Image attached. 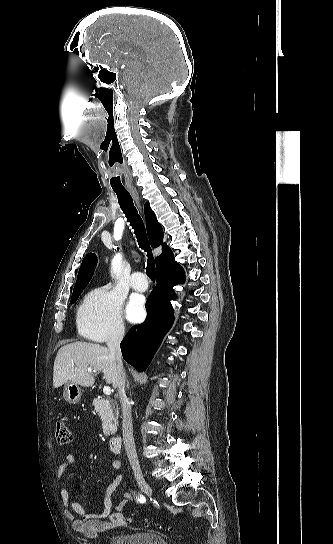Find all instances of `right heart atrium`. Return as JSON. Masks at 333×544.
I'll list each match as a JSON object with an SVG mask.
<instances>
[{
    "mask_svg": "<svg viewBox=\"0 0 333 544\" xmlns=\"http://www.w3.org/2000/svg\"><path fill=\"white\" fill-rule=\"evenodd\" d=\"M77 322L81 334L90 340H120L125 334L123 301L108 287L96 288L81 305Z\"/></svg>",
    "mask_w": 333,
    "mask_h": 544,
    "instance_id": "d8ad5b80",
    "label": "right heart atrium"
}]
</instances>
